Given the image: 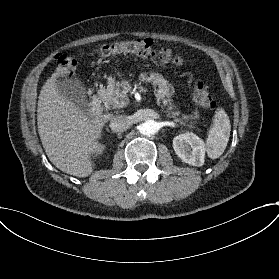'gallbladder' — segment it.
Masks as SVG:
<instances>
[{
  "label": "gallbladder",
  "mask_w": 279,
  "mask_h": 279,
  "mask_svg": "<svg viewBox=\"0 0 279 279\" xmlns=\"http://www.w3.org/2000/svg\"><path fill=\"white\" fill-rule=\"evenodd\" d=\"M58 89L70 102L74 103L83 111L90 110L87 98V89L80 79L68 78L62 79L58 83Z\"/></svg>",
  "instance_id": "obj_1"
}]
</instances>
